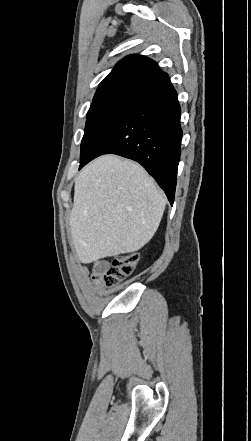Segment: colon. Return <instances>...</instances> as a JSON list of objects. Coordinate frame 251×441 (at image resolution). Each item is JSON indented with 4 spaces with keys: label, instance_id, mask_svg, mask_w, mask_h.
Listing matches in <instances>:
<instances>
[{
    "label": "colon",
    "instance_id": "obj_1",
    "mask_svg": "<svg viewBox=\"0 0 251 441\" xmlns=\"http://www.w3.org/2000/svg\"><path fill=\"white\" fill-rule=\"evenodd\" d=\"M139 261L136 252L122 253L115 256L102 276L105 286L112 287L130 276Z\"/></svg>",
    "mask_w": 251,
    "mask_h": 441
}]
</instances>
